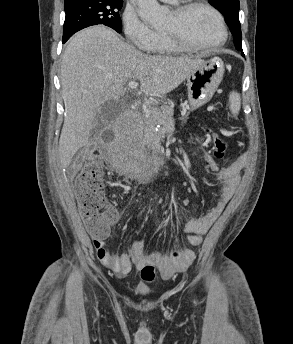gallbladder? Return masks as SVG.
<instances>
[{
    "label": "gallbladder",
    "instance_id": "1",
    "mask_svg": "<svg viewBox=\"0 0 293 344\" xmlns=\"http://www.w3.org/2000/svg\"><path fill=\"white\" fill-rule=\"evenodd\" d=\"M121 112V107L118 101L110 100L105 102L98 112L95 122L104 123L115 119Z\"/></svg>",
    "mask_w": 293,
    "mask_h": 344
}]
</instances>
